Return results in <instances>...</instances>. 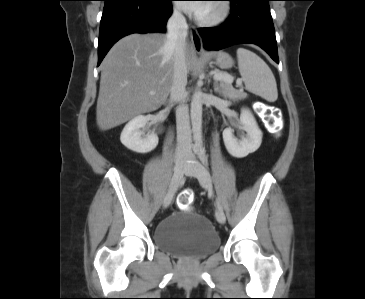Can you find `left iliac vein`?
<instances>
[{"mask_svg": "<svg viewBox=\"0 0 365 299\" xmlns=\"http://www.w3.org/2000/svg\"><path fill=\"white\" fill-rule=\"evenodd\" d=\"M187 171L189 173L193 174L198 179L200 185L204 189L211 191V188H212L211 177H210L209 172L205 169V167L202 164H200L198 162H196L194 164H190L187 167ZM215 216L219 223H222V224L225 223L226 217L221 208L217 207Z\"/></svg>", "mask_w": 365, "mask_h": 299, "instance_id": "4c4485c4", "label": "left iliac vein"}]
</instances>
